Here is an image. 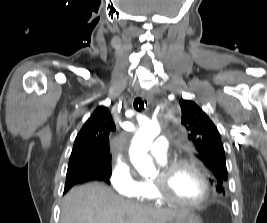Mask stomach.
<instances>
[{
    "mask_svg": "<svg viewBox=\"0 0 267 223\" xmlns=\"http://www.w3.org/2000/svg\"><path fill=\"white\" fill-rule=\"evenodd\" d=\"M169 223H202V221L198 216L186 210L182 216L174 218Z\"/></svg>",
    "mask_w": 267,
    "mask_h": 223,
    "instance_id": "stomach-1",
    "label": "stomach"
}]
</instances>
